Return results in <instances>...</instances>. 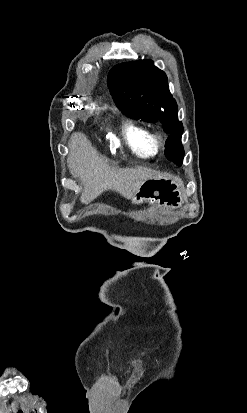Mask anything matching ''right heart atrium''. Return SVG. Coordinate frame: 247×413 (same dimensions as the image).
<instances>
[{"label": "right heart atrium", "mask_w": 247, "mask_h": 413, "mask_svg": "<svg viewBox=\"0 0 247 413\" xmlns=\"http://www.w3.org/2000/svg\"><path fill=\"white\" fill-rule=\"evenodd\" d=\"M93 106H94L95 108H98V107L100 106V103H99L98 101H95V102L93 103Z\"/></svg>", "instance_id": "d8ad5b80"}]
</instances>
